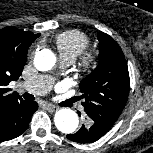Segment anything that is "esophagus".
Here are the masks:
<instances>
[{"instance_id": "esophagus-1", "label": "esophagus", "mask_w": 153, "mask_h": 153, "mask_svg": "<svg viewBox=\"0 0 153 153\" xmlns=\"http://www.w3.org/2000/svg\"><path fill=\"white\" fill-rule=\"evenodd\" d=\"M45 107L47 108L48 111L50 112H54L56 110H58V107L52 104H46Z\"/></svg>"}]
</instances>
